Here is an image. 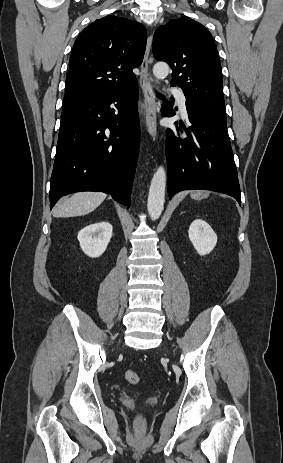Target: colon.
Instances as JSON below:
<instances>
[{"instance_id": "5ec220e1", "label": "colon", "mask_w": 283, "mask_h": 463, "mask_svg": "<svg viewBox=\"0 0 283 463\" xmlns=\"http://www.w3.org/2000/svg\"><path fill=\"white\" fill-rule=\"evenodd\" d=\"M125 378L126 380L131 383V384H137L139 382V376L138 374L133 371V370H127L125 372ZM136 424L138 426V428H141V426L143 425V418L142 417H138L136 419Z\"/></svg>"}]
</instances>
